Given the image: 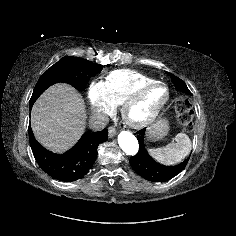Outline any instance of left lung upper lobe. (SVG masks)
<instances>
[{
    "label": "left lung upper lobe",
    "instance_id": "5c2ea615",
    "mask_svg": "<svg viewBox=\"0 0 236 236\" xmlns=\"http://www.w3.org/2000/svg\"><path fill=\"white\" fill-rule=\"evenodd\" d=\"M172 80V83L175 85L176 89L182 91L187 94H191L189 89L187 88L186 84L178 77L174 76L173 74H169Z\"/></svg>",
    "mask_w": 236,
    "mask_h": 236
}]
</instances>
